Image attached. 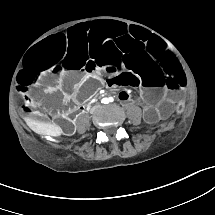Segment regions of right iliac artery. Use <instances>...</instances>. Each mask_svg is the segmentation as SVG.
I'll return each instance as SVG.
<instances>
[{
	"mask_svg": "<svg viewBox=\"0 0 215 215\" xmlns=\"http://www.w3.org/2000/svg\"><path fill=\"white\" fill-rule=\"evenodd\" d=\"M101 103L107 104V103H108V101H107V99H106V98H104V99H102Z\"/></svg>",
	"mask_w": 215,
	"mask_h": 215,
	"instance_id": "1",
	"label": "right iliac artery"
}]
</instances>
